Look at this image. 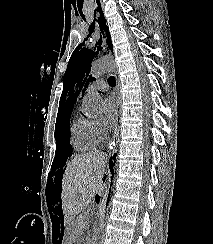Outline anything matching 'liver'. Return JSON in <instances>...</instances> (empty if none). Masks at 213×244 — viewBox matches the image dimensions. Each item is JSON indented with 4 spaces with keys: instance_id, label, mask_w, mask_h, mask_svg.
Segmentation results:
<instances>
[{
    "instance_id": "1",
    "label": "liver",
    "mask_w": 213,
    "mask_h": 244,
    "mask_svg": "<svg viewBox=\"0 0 213 244\" xmlns=\"http://www.w3.org/2000/svg\"><path fill=\"white\" fill-rule=\"evenodd\" d=\"M106 156L102 152H89L76 156L63 175L62 209L69 232L74 229V219L95 197L104 192L103 176L106 171Z\"/></svg>"
}]
</instances>
